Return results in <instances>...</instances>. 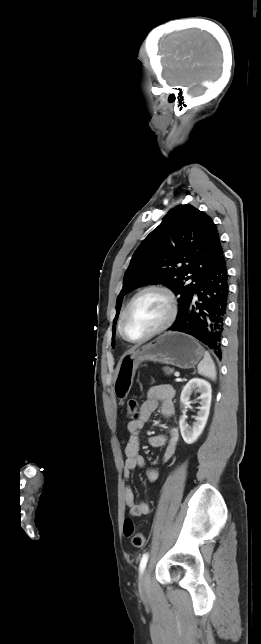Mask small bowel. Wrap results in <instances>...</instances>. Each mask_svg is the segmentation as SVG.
<instances>
[{
	"mask_svg": "<svg viewBox=\"0 0 261 644\" xmlns=\"http://www.w3.org/2000/svg\"><path fill=\"white\" fill-rule=\"evenodd\" d=\"M175 395L174 388L168 384L158 385L151 387L146 395V399L140 407V416L136 420H132L127 424V429L130 434L128 443L125 447V462L123 467V476L129 479L133 470L145 465L144 458L139 453V434L144 424L150 419L152 413L160 408V413L166 419H170L175 413L173 398ZM148 442L152 447H164L162 460L168 461L175 454L179 442L178 429L170 427L166 434L151 435ZM147 476L150 481H155L158 477V472L150 468L147 471ZM125 506L129 515L133 517H140L147 515L150 512L149 504L145 501L137 502L135 500L134 492L130 486L125 488L124 492Z\"/></svg>",
	"mask_w": 261,
	"mask_h": 644,
	"instance_id": "1",
	"label": "small bowel"
}]
</instances>
